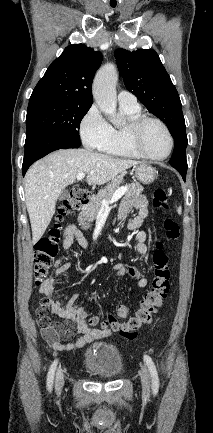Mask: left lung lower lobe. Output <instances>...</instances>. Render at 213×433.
<instances>
[{
    "instance_id": "obj_1",
    "label": "left lung lower lobe",
    "mask_w": 213,
    "mask_h": 433,
    "mask_svg": "<svg viewBox=\"0 0 213 433\" xmlns=\"http://www.w3.org/2000/svg\"><path fill=\"white\" fill-rule=\"evenodd\" d=\"M177 170H178L179 173L182 175V178H183V180L185 181L187 170H181V169H177Z\"/></svg>"
}]
</instances>
